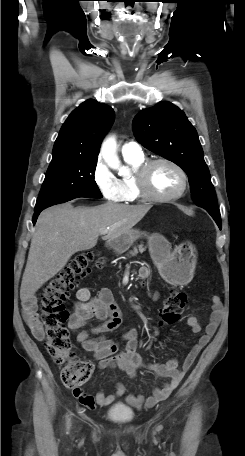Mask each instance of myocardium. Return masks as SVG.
Instances as JSON below:
<instances>
[{"mask_svg":"<svg viewBox=\"0 0 245 456\" xmlns=\"http://www.w3.org/2000/svg\"><path fill=\"white\" fill-rule=\"evenodd\" d=\"M160 163L167 164L174 168L178 174L180 175L181 178V186L179 190L171 195L167 196H161L156 193H154L151 189L150 186V172L152 168ZM135 182L138 187V190L142 196V198L152 201V202H170L179 199L184 195V193L187 190L188 186V178L186 172L183 170V168L178 165L176 162L167 159V158H155V159H150L146 160L144 163H142L136 170L135 172Z\"/></svg>","mask_w":245,"mask_h":456,"instance_id":"f54148a6","label":"myocardium"}]
</instances>
